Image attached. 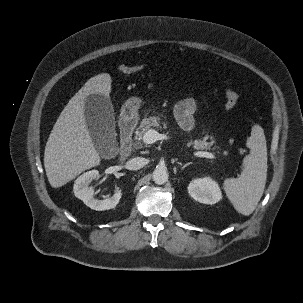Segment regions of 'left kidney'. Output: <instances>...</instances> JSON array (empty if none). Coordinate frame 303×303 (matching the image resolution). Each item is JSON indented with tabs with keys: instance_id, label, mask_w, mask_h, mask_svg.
Segmentation results:
<instances>
[{
	"instance_id": "left-kidney-1",
	"label": "left kidney",
	"mask_w": 303,
	"mask_h": 303,
	"mask_svg": "<svg viewBox=\"0 0 303 303\" xmlns=\"http://www.w3.org/2000/svg\"><path fill=\"white\" fill-rule=\"evenodd\" d=\"M189 195L203 204H215L222 199L218 183L210 177L197 178L188 185Z\"/></svg>"
}]
</instances>
